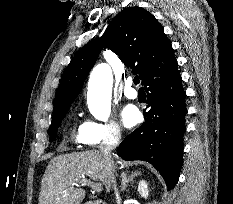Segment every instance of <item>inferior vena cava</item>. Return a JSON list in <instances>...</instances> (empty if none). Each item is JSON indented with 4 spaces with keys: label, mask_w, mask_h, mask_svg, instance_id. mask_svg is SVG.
<instances>
[{
    "label": "inferior vena cava",
    "mask_w": 233,
    "mask_h": 204,
    "mask_svg": "<svg viewBox=\"0 0 233 204\" xmlns=\"http://www.w3.org/2000/svg\"><path fill=\"white\" fill-rule=\"evenodd\" d=\"M121 138L120 132H115L114 135L104 142L100 146V151L103 153V155L107 158V161L109 163V169H108V176L111 183L114 185V189L116 190L114 175L112 171H115L114 161L111 156V151L118 145L119 140Z\"/></svg>",
    "instance_id": "602c4592"
}]
</instances>
